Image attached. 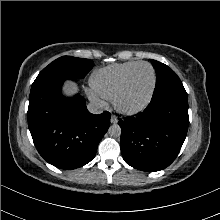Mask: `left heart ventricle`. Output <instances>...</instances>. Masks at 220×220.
Segmentation results:
<instances>
[{
    "label": "left heart ventricle",
    "instance_id": "b2bd125f",
    "mask_svg": "<svg viewBox=\"0 0 220 220\" xmlns=\"http://www.w3.org/2000/svg\"><path fill=\"white\" fill-rule=\"evenodd\" d=\"M152 84V71L148 66H140L133 73L128 87L121 99L125 107L141 104L149 93Z\"/></svg>",
    "mask_w": 220,
    "mask_h": 220
}]
</instances>
